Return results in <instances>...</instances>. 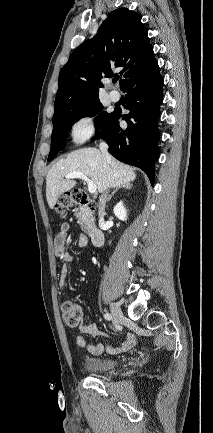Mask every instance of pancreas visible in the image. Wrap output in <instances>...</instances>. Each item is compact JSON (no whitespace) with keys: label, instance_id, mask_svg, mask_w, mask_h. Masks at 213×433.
I'll return each instance as SVG.
<instances>
[{"label":"pancreas","instance_id":"cf45deb5","mask_svg":"<svg viewBox=\"0 0 213 433\" xmlns=\"http://www.w3.org/2000/svg\"><path fill=\"white\" fill-rule=\"evenodd\" d=\"M76 218L78 219L82 230L88 231L90 225L94 221V217L92 215L91 210L86 207H80L79 211L76 212Z\"/></svg>","mask_w":213,"mask_h":433}]
</instances>
